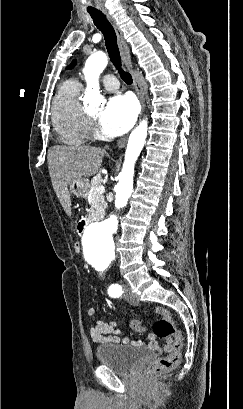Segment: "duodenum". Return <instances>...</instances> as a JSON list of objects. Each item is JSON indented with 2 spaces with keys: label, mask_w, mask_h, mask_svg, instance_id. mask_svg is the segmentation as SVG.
<instances>
[{
  "label": "duodenum",
  "mask_w": 243,
  "mask_h": 409,
  "mask_svg": "<svg viewBox=\"0 0 243 409\" xmlns=\"http://www.w3.org/2000/svg\"><path fill=\"white\" fill-rule=\"evenodd\" d=\"M89 223L90 221L88 219L80 221L78 225L79 232H82L89 225Z\"/></svg>",
  "instance_id": "410a0bca"
}]
</instances>
